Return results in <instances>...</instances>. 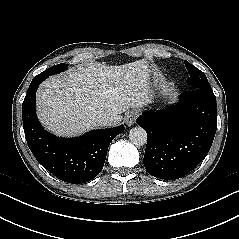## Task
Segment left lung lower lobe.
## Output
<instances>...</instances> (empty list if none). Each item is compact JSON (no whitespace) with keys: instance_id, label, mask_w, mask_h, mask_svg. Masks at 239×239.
I'll use <instances>...</instances> for the list:
<instances>
[{"instance_id":"0a47b994","label":"left lung lower lobe","mask_w":239,"mask_h":239,"mask_svg":"<svg viewBox=\"0 0 239 239\" xmlns=\"http://www.w3.org/2000/svg\"><path fill=\"white\" fill-rule=\"evenodd\" d=\"M136 122L147 132L144 166L154 177L175 180L193 170L209 152L217 129L212 90L183 92L168 110L146 111Z\"/></svg>"}]
</instances>
